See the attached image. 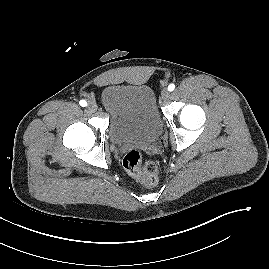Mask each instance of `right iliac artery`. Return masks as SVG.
I'll list each match as a JSON object with an SVG mask.
<instances>
[{"instance_id": "obj_1", "label": "right iliac artery", "mask_w": 269, "mask_h": 269, "mask_svg": "<svg viewBox=\"0 0 269 269\" xmlns=\"http://www.w3.org/2000/svg\"><path fill=\"white\" fill-rule=\"evenodd\" d=\"M79 104H80L82 107L87 106V102H86L85 100H81V101L79 102Z\"/></svg>"}]
</instances>
